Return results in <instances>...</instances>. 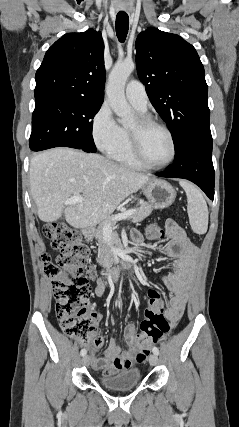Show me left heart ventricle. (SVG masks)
Here are the masks:
<instances>
[{
	"instance_id": "b2bd125f",
	"label": "left heart ventricle",
	"mask_w": 239,
	"mask_h": 427,
	"mask_svg": "<svg viewBox=\"0 0 239 427\" xmlns=\"http://www.w3.org/2000/svg\"><path fill=\"white\" fill-rule=\"evenodd\" d=\"M137 125L136 118L128 127L134 129ZM141 147L143 156L152 164L165 162L172 153V146L168 136L162 130L154 127L142 131Z\"/></svg>"
}]
</instances>
